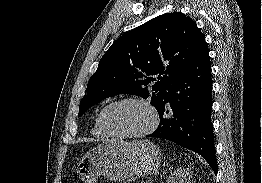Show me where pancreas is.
Instances as JSON below:
<instances>
[{
	"mask_svg": "<svg viewBox=\"0 0 262 183\" xmlns=\"http://www.w3.org/2000/svg\"><path fill=\"white\" fill-rule=\"evenodd\" d=\"M129 181H130V182H132V181H133V179H132V178H130V179H129ZM142 183H143V182H142ZM145 183H149V181H146Z\"/></svg>",
	"mask_w": 262,
	"mask_h": 183,
	"instance_id": "obj_1",
	"label": "pancreas"
}]
</instances>
